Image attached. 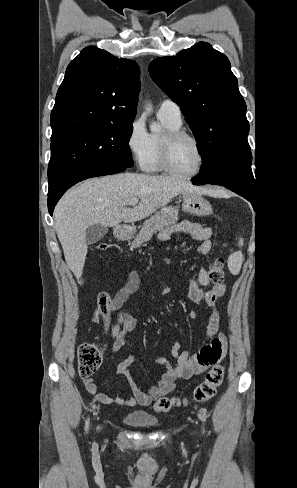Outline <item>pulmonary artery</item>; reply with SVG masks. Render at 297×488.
<instances>
[{"label":"pulmonary artery","mask_w":297,"mask_h":488,"mask_svg":"<svg viewBox=\"0 0 297 488\" xmlns=\"http://www.w3.org/2000/svg\"><path fill=\"white\" fill-rule=\"evenodd\" d=\"M160 119L168 120L174 124H182V114L180 106L170 99L163 100L158 110Z\"/></svg>","instance_id":"obj_1"}]
</instances>
